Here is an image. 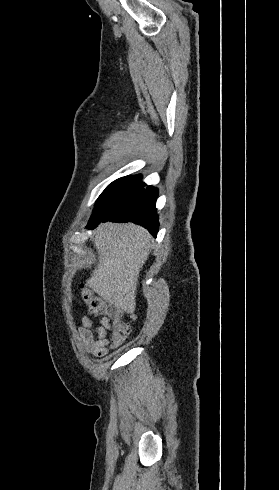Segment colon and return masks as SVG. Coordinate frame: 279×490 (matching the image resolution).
I'll return each instance as SVG.
<instances>
[{"label": "colon", "instance_id": "obj_1", "mask_svg": "<svg viewBox=\"0 0 279 490\" xmlns=\"http://www.w3.org/2000/svg\"><path fill=\"white\" fill-rule=\"evenodd\" d=\"M82 298L88 306L91 315L105 317L110 321L111 347L113 349H118L120 344H122L132 332V328L125 320L124 313L119 308L103 300L98 294L91 290L83 289Z\"/></svg>", "mask_w": 279, "mask_h": 490}]
</instances>
